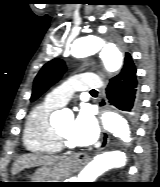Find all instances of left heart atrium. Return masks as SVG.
Instances as JSON below:
<instances>
[{"instance_id":"left-heart-atrium-1","label":"left heart atrium","mask_w":160,"mask_h":187,"mask_svg":"<svg viewBox=\"0 0 160 187\" xmlns=\"http://www.w3.org/2000/svg\"><path fill=\"white\" fill-rule=\"evenodd\" d=\"M98 136L99 129L94 117L88 110H81L72 125V142L78 146H88L93 144Z\"/></svg>"}]
</instances>
